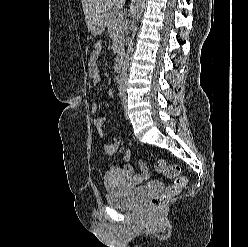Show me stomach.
I'll list each match as a JSON object with an SVG mask.
<instances>
[{
    "label": "stomach",
    "mask_w": 248,
    "mask_h": 247,
    "mask_svg": "<svg viewBox=\"0 0 248 247\" xmlns=\"http://www.w3.org/2000/svg\"><path fill=\"white\" fill-rule=\"evenodd\" d=\"M106 27V14H104L96 23L91 27V33L94 36L100 35L103 33Z\"/></svg>",
    "instance_id": "obj_1"
}]
</instances>
